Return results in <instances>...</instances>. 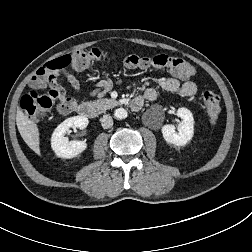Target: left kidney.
Returning a JSON list of instances; mask_svg holds the SVG:
<instances>
[{
    "mask_svg": "<svg viewBox=\"0 0 252 252\" xmlns=\"http://www.w3.org/2000/svg\"><path fill=\"white\" fill-rule=\"evenodd\" d=\"M177 115L182 119L178 132H176L175 127L170 124L164 125L161 131L167 143L183 146L193 137L194 119L191 111L186 108H179L177 110Z\"/></svg>",
    "mask_w": 252,
    "mask_h": 252,
    "instance_id": "1",
    "label": "left kidney"
}]
</instances>
